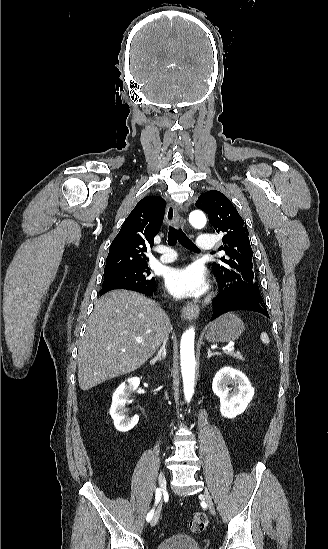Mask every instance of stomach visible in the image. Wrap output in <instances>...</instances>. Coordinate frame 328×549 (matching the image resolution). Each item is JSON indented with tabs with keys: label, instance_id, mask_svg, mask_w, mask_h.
Returning <instances> with one entry per match:
<instances>
[{
	"label": "stomach",
	"instance_id": "0dacf381",
	"mask_svg": "<svg viewBox=\"0 0 328 549\" xmlns=\"http://www.w3.org/2000/svg\"><path fill=\"white\" fill-rule=\"evenodd\" d=\"M245 331V325L234 313H225L208 325L206 339L208 343H229L236 341Z\"/></svg>",
	"mask_w": 328,
	"mask_h": 549
}]
</instances>
